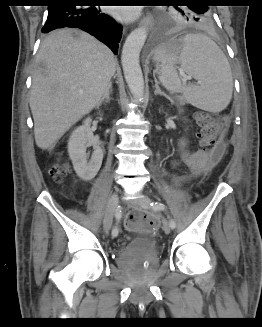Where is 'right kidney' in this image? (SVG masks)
I'll list each match as a JSON object with an SVG mask.
<instances>
[{
	"label": "right kidney",
	"mask_w": 262,
	"mask_h": 327,
	"mask_svg": "<svg viewBox=\"0 0 262 327\" xmlns=\"http://www.w3.org/2000/svg\"><path fill=\"white\" fill-rule=\"evenodd\" d=\"M91 121L92 119L89 117L85 119L83 125L72 132L68 142V153L74 170L85 181H89L96 176L103 160V151L90 128ZM88 146L94 147V152L89 161V154L86 153Z\"/></svg>",
	"instance_id": "obj_1"
}]
</instances>
